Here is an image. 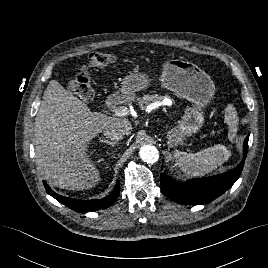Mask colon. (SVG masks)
I'll return each mask as SVG.
<instances>
[{"label": "colon", "instance_id": "colon-1", "mask_svg": "<svg viewBox=\"0 0 268 268\" xmlns=\"http://www.w3.org/2000/svg\"><path fill=\"white\" fill-rule=\"evenodd\" d=\"M116 61V56L106 52H94L88 56L82 71L69 81L70 90L81 99H91L94 89L88 72L102 69Z\"/></svg>", "mask_w": 268, "mask_h": 268}]
</instances>
